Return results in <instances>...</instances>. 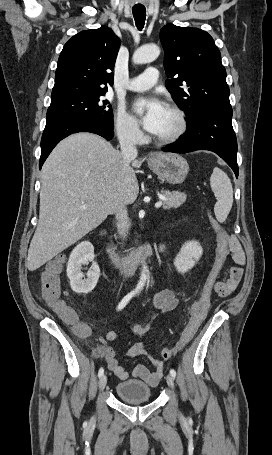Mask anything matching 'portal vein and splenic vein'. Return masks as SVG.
<instances>
[{
  "instance_id": "obj_1",
  "label": "portal vein and splenic vein",
  "mask_w": 272,
  "mask_h": 455,
  "mask_svg": "<svg viewBox=\"0 0 272 455\" xmlns=\"http://www.w3.org/2000/svg\"><path fill=\"white\" fill-rule=\"evenodd\" d=\"M162 200H163V199H162ZM162 200H159V201L155 204V207H156V208H160V207L162 206ZM87 207H88V204H85V203H84V204H82V205L80 206V209L84 210V209H87Z\"/></svg>"
}]
</instances>
